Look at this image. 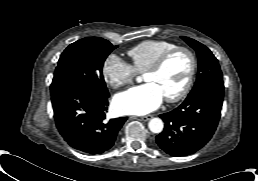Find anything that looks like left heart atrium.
Returning a JSON list of instances; mask_svg holds the SVG:
<instances>
[{
  "label": "left heart atrium",
  "instance_id": "obj_1",
  "mask_svg": "<svg viewBox=\"0 0 258 181\" xmlns=\"http://www.w3.org/2000/svg\"><path fill=\"white\" fill-rule=\"evenodd\" d=\"M164 95L154 83H146L118 93L114 98L116 112L127 115H144L156 110Z\"/></svg>",
  "mask_w": 258,
  "mask_h": 181
}]
</instances>
